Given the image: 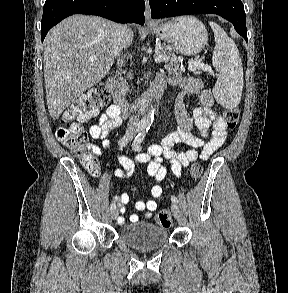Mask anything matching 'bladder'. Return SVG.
I'll return each instance as SVG.
<instances>
[{
  "label": "bladder",
  "mask_w": 288,
  "mask_h": 293,
  "mask_svg": "<svg viewBox=\"0 0 288 293\" xmlns=\"http://www.w3.org/2000/svg\"><path fill=\"white\" fill-rule=\"evenodd\" d=\"M119 236L127 245L141 250L160 248L169 238L166 228L150 222L125 225L120 229Z\"/></svg>",
  "instance_id": "31cf9c89"
}]
</instances>
